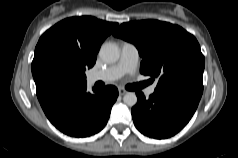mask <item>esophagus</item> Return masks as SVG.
<instances>
[{
    "label": "esophagus",
    "instance_id": "34e87169",
    "mask_svg": "<svg viewBox=\"0 0 238 158\" xmlns=\"http://www.w3.org/2000/svg\"><path fill=\"white\" fill-rule=\"evenodd\" d=\"M118 92H119V95H121V96L127 93V91L125 89H122V88H119Z\"/></svg>",
    "mask_w": 238,
    "mask_h": 158
}]
</instances>
